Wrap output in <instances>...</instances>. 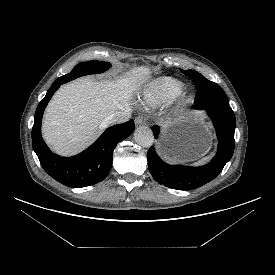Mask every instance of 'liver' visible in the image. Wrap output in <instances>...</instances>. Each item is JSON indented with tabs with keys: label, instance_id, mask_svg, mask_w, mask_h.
<instances>
[{
	"label": "liver",
	"instance_id": "liver-1",
	"mask_svg": "<svg viewBox=\"0 0 275 275\" xmlns=\"http://www.w3.org/2000/svg\"><path fill=\"white\" fill-rule=\"evenodd\" d=\"M148 72L146 67H138L129 78L100 82L81 78L61 86L44 115L46 143L64 156L83 151L108 126L105 119L109 115L129 107L138 81H144Z\"/></svg>",
	"mask_w": 275,
	"mask_h": 275
}]
</instances>
